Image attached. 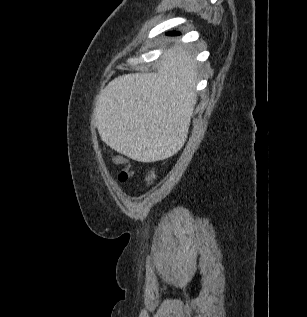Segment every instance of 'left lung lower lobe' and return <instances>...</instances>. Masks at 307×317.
<instances>
[{"label":"left lung lower lobe","instance_id":"obj_1","mask_svg":"<svg viewBox=\"0 0 307 317\" xmlns=\"http://www.w3.org/2000/svg\"><path fill=\"white\" fill-rule=\"evenodd\" d=\"M167 35L169 36H175V35H180L179 32H176V31H171V32H168Z\"/></svg>","mask_w":307,"mask_h":317}]
</instances>
